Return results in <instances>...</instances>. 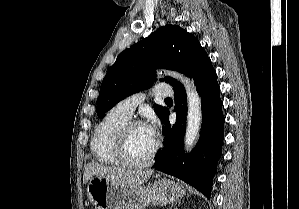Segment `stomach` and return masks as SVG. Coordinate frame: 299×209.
Segmentation results:
<instances>
[{
    "label": "stomach",
    "mask_w": 299,
    "mask_h": 209,
    "mask_svg": "<svg viewBox=\"0 0 299 209\" xmlns=\"http://www.w3.org/2000/svg\"><path fill=\"white\" fill-rule=\"evenodd\" d=\"M184 194L182 185L166 179L144 187L118 185L104 177L93 176L87 185V195L95 209H144L148 205L174 203Z\"/></svg>",
    "instance_id": "obj_1"
}]
</instances>
